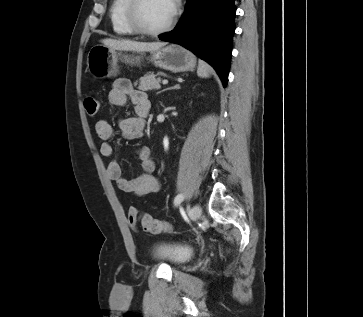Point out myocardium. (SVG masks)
<instances>
[{
    "mask_svg": "<svg viewBox=\"0 0 363 317\" xmlns=\"http://www.w3.org/2000/svg\"><path fill=\"white\" fill-rule=\"evenodd\" d=\"M141 2H142V0H128V3L125 8L126 23L132 29V31L134 33L145 36V37H157V36L165 34L172 28V26L174 25L175 20L177 18V14H178V6L175 2L173 5L172 14H171L169 20L167 21V23L164 26H162L161 28L156 29V30L147 29V28L143 27L142 24L140 23V21L138 19V10H139Z\"/></svg>",
    "mask_w": 363,
    "mask_h": 317,
    "instance_id": "obj_1",
    "label": "myocardium"
}]
</instances>
